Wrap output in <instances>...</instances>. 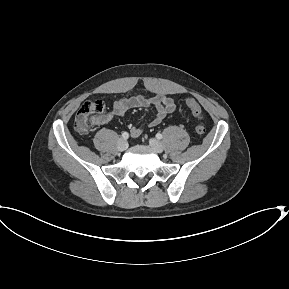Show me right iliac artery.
Here are the masks:
<instances>
[{
	"instance_id": "1",
	"label": "right iliac artery",
	"mask_w": 289,
	"mask_h": 289,
	"mask_svg": "<svg viewBox=\"0 0 289 289\" xmlns=\"http://www.w3.org/2000/svg\"><path fill=\"white\" fill-rule=\"evenodd\" d=\"M129 137V134L127 132L122 133V138L127 139Z\"/></svg>"
}]
</instances>
